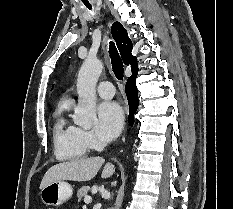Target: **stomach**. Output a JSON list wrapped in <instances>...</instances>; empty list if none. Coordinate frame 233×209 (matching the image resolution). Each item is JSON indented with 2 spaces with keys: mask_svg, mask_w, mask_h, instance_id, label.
Listing matches in <instances>:
<instances>
[{
  "mask_svg": "<svg viewBox=\"0 0 233 209\" xmlns=\"http://www.w3.org/2000/svg\"><path fill=\"white\" fill-rule=\"evenodd\" d=\"M73 195L72 186L66 181H56L45 186L40 197L44 204L60 206L67 202Z\"/></svg>",
  "mask_w": 233,
  "mask_h": 209,
  "instance_id": "obj_1",
  "label": "stomach"
}]
</instances>
